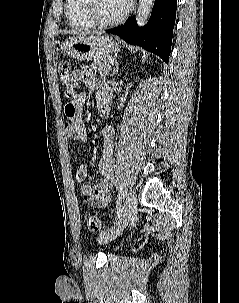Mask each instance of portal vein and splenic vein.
<instances>
[{"label": "portal vein and splenic vein", "mask_w": 239, "mask_h": 303, "mask_svg": "<svg viewBox=\"0 0 239 303\" xmlns=\"http://www.w3.org/2000/svg\"><path fill=\"white\" fill-rule=\"evenodd\" d=\"M107 68L110 70V69H111V65H110V64H108V65H107Z\"/></svg>", "instance_id": "obj_1"}]
</instances>
